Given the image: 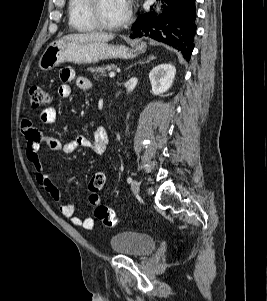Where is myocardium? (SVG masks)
<instances>
[{"label":"myocardium","instance_id":"1","mask_svg":"<svg viewBox=\"0 0 267 301\" xmlns=\"http://www.w3.org/2000/svg\"><path fill=\"white\" fill-rule=\"evenodd\" d=\"M101 2L102 0H89V4H88V12H89L90 19L98 29L110 30V31L119 30L129 24L132 17V7L129 1H126L127 12L125 17L121 21L114 24H109L102 19L100 15Z\"/></svg>","mask_w":267,"mask_h":301}]
</instances>
